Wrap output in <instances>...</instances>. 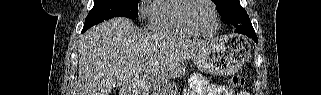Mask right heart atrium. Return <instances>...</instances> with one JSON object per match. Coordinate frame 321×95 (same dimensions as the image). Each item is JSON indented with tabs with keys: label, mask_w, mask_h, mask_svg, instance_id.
I'll return each mask as SVG.
<instances>
[{
	"label": "right heart atrium",
	"mask_w": 321,
	"mask_h": 95,
	"mask_svg": "<svg viewBox=\"0 0 321 95\" xmlns=\"http://www.w3.org/2000/svg\"><path fill=\"white\" fill-rule=\"evenodd\" d=\"M139 13H140L141 15L147 14V13H148V8H147L146 6H144V5L140 6V8H139Z\"/></svg>",
	"instance_id": "d8ad5b80"
}]
</instances>
